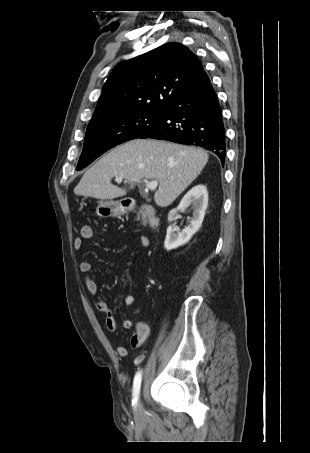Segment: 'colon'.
<instances>
[{"label": "colon", "mask_w": 310, "mask_h": 453, "mask_svg": "<svg viewBox=\"0 0 310 453\" xmlns=\"http://www.w3.org/2000/svg\"><path fill=\"white\" fill-rule=\"evenodd\" d=\"M81 234L83 237H89L91 235V226L88 224H85L81 228Z\"/></svg>", "instance_id": "colon-1"}]
</instances>
